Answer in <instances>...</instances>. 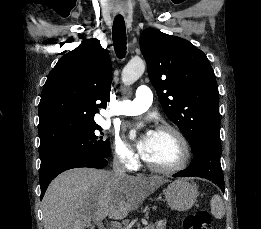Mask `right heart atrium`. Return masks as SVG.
Here are the masks:
<instances>
[{"label": "right heart atrium", "mask_w": 261, "mask_h": 229, "mask_svg": "<svg viewBox=\"0 0 261 229\" xmlns=\"http://www.w3.org/2000/svg\"><path fill=\"white\" fill-rule=\"evenodd\" d=\"M114 160L127 171H136L140 166V159L136 151L120 138L114 140Z\"/></svg>", "instance_id": "d8ad5b80"}]
</instances>
